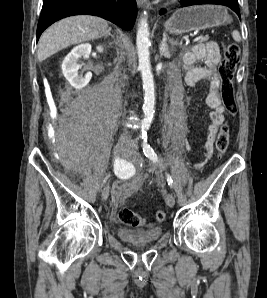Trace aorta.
<instances>
[{
    "label": "aorta",
    "instance_id": "aorta-1",
    "mask_svg": "<svg viewBox=\"0 0 267 298\" xmlns=\"http://www.w3.org/2000/svg\"><path fill=\"white\" fill-rule=\"evenodd\" d=\"M137 53L139 59V70L141 71L144 89V118L141 122L142 132L148 130L153 122L155 106V88L151 64L149 58V29L147 18H141L136 38Z\"/></svg>",
    "mask_w": 267,
    "mask_h": 298
}]
</instances>
